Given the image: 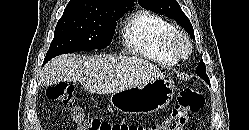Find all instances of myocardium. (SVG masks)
Returning <instances> with one entry per match:
<instances>
[{"label":"myocardium","instance_id":"obj_1","mask_svg":"<svg viewBox=\"0 0 249 130\" xmlns=\"http://www.w3.org/2000/svg\"><path fill=\"white\" fill-rule=\"evenodd\" d=\"M185 44L187 47V51L182 53L179 50V45ZM167 50L171 56H173L176 60H185L189 58V56L193 52V44L189 36L182 32L176 30L167 41Z\"/></svg>","mask_w":249,"mask_h":130}]
</instances>
